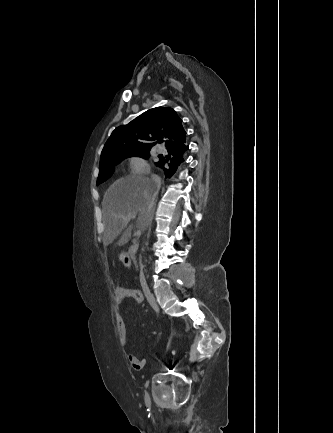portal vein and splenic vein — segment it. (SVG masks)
I'll list each match as a JSON object with an SVG mask.
<instances>
[{
	"label": "portal vein and splenic vein",
	"instance_id": "18ae733b",
	"mask_svg": "<svg viewBox=\"0 0 333 433\" xmlns=\"http://www.w3.org/2000/svg\"><path fill=\"white\" fill-rule=\"evenodd\" d=\"M135 218H136V213H134V212L129 213V214H127V216L125 217V222H126V223H129L131 220H133V219H135ZM140 235H141V231H140V230H137V231L135 232V236H137V237L139 238ZM136 246H138V242H137V241L134 242V247H136Z\"/></svg>",
	"mask_w": 333,
	"mask_h": 433
}]
</instances>
